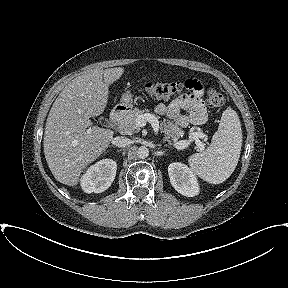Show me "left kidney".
Returning <instances> with one entry per match:
<instances>
[{"mask_svg":"<svg viewBox=\"0 0 288 288\" xmlns=\"http://www.w3.org/2000/svg\"><path fill=\"white\" fill-rule=\"evenodd\" d=\"M170 182L180 194L193 197L199 192V185L192 170L185 164L174 162L168 166Z\"/></svg>","mask_w":288,"mask_h":288,"instance_id":"1","label":"left kidney"}]
</instances>
